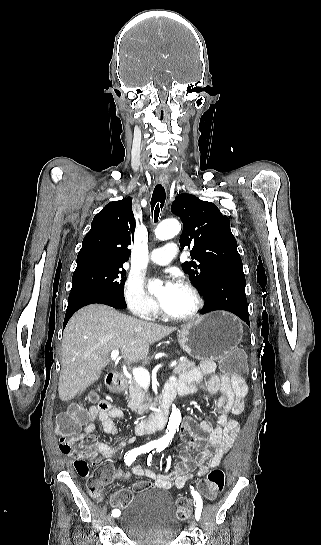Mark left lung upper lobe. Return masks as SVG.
I'll use <instances>...</instances> for the list:
<instances>
[{"mask_svg": "<svg viewBox=\"0 0 321 545\" xmlns=\"http://www.w3.org/2000/svg\"><path fill=\"white\" fill-rule=\"evenodd\" d=\"M184 229L180 236L181 248H192L195 261L184 262L183 271L203 292L209 281L225 271L243 269L237 251V241L230 230L229 218L218 207L191 194H180L171 206Z\"/></svg>", "mask_w": 321, "mask_h": 545, "instance_id": "obj_1", "label": "left lung upper lobe"}]
</instances>
